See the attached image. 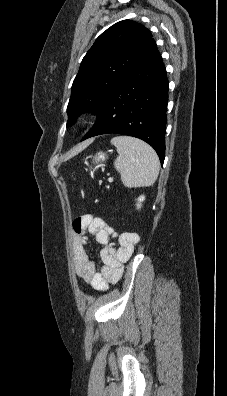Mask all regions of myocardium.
<instances>
[{
	"label": "myocardium",
	"mask_w": 227,
	"mask_h": 396,
	"mask_svg": "<svg viewBox=\"0 0 227 396\" xmlns=\"http://www.w3.org/2000/svg\"><path fill=\"white\" fill-rule=\"evenodd\" d=\"M87 122H88V117H80L78 120H77V122H76V125H75V130L76 131H80L81 129H83L84 127H85V125L87 124Z\"/></svg>",
	"instance_id": "myocardium-1"
}]
</instances>
